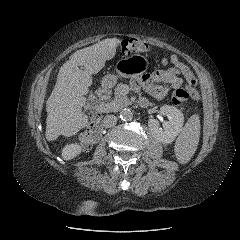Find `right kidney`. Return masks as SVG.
Instances as JSON below:
<instances>
[{"instance_id":"obj_1","label":"right kidney","mask_w":240,"mask_h":240,"mask_svg":"<svg viewBox=\"0 0 240 240\" xmlns=\"http://www.w3.org/2000/svg\"><path fill=\"white\" fill-rule=\"evenodd\" d=\"M81 151L82 147L78 143H72L66 145L61 153L64 160H71L79 155Z\"/></svg>"}]
</instances>
